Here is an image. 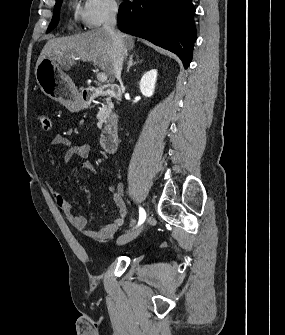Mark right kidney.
Wrapping results in <instances>:
<instances>
[{
  "label": "right kidney",
  "instance_id": "obj_1",
  "mask_svg": "<svg viewBox=\"0 0 285 335\" xmlns=\"http://www.w3.org/2000/svg\"><path fill=\"white\" fill-rule=\"evenodd\" d=\"M157 78V70H150V72H146L144 76H142L140 80V92L146 98H151L154 94L155 84Z\"/></svg>",
  "mask_w": 285,
  "mask_h": 335
}]
</instances>
